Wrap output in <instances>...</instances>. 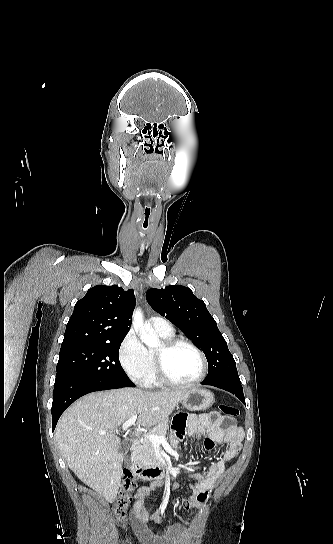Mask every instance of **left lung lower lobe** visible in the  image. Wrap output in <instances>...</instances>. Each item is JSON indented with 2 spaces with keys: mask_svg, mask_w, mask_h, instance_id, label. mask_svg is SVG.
I'll use <instances>...</instances> for the list:
<instances>
[{
  "mask_svg": "<svg viewBox=\"0 0 333 544\" xmlns=\"http://www.w3.org/2000/svg\"><path fill=\"white\" fill-rule=\"evenodd\" d=\"M201 384L203 385H211L218 387L220 389L226 390L232 394H234L237 398L240 399V401L245 404L244 394H243V388L238 380L234 379H222V380H216L211 382H205L203 381Z\"/></svg>",
  "mask_w": 333,
  "mask_h": 544,
  "instance_id": "left-lung-lower-lobe-1",
  "label": "left lung lower lobe"
}]
</instances>
